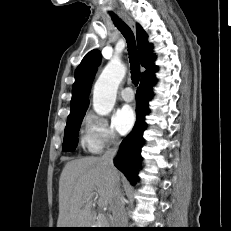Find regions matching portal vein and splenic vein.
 <instances>
[{"label":"portal vein and splenic vein","instance_id":"obj_1","mask_svg":"<svg viewBox=\"0 0 231 231\" xmlns=\"http://www.w3.org/2000/svg\"><path fill=\"white\" fill-rule=\"evenodd\" d=\"M91 197H93V195L91 196ZM97 199V196L94 198V200H96ZM98 205L100 206V207H102L103 205H102V202L99 200L98 201Z\"/></svg>","mask_w":231,"mask_h":231}]
</instances>
